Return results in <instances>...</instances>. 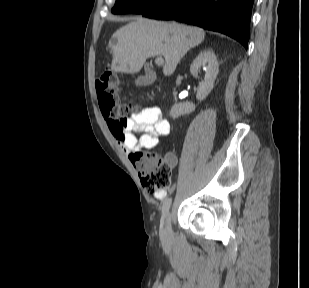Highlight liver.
<instances>
[{
    "instance_id": "6515ba94",
    "label": "liver",
    "mask_w": 309,
    "mask_h": 288,
    "mask_svg": "<svg viewBox=\"0 0 309 288\" xmlns=\"http://www.w3.org/2000/svg\"><path fill=\"white\" fill-rule=\"evenodd\" d=\"M205 38V32L176 22H159L141 17L118 29L109 42L115 73H137L146 59L162 55L163 73H174L181 58Z\"/></svg>"
}]
</instances>
